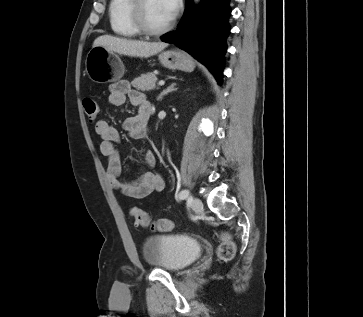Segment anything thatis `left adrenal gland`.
<instances>
[{"instance_id":"left-adrenal-gland-1","label":"left adrenal gland","mask_w":363,"mask_h":317,"mask_svg":"<svg viewBox=\"0 0 363 317\" xmlns=\"http://www.w3.org/2000/svg\"><path fill=\"white\" fill-rule=\"evenodd\" d=\"M177 84L176 83H172L169 87H167V89L163 90L157 97L158 101H161L162 98L167 95L168 93L177 90V88H175Z\"/></svg>"}]
</instances>
